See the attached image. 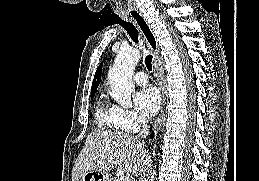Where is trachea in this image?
<instances>
[{"instance_id": "obj_1", "label": "trachea", "mask_w": 259, "mask_h": 181, "mask_svg": "<svg viewBox=\"0 0 259 181\" xmlns=\"http://www.w3.org/2000/svg\"><path fill=\"white\" fill-rule=\"evenodd\" d=\"M122 27L127 31L129 34L130 38L135 42L139 43V33L136 29V27L130 23V22H123L121 23ZM152 55H147L145 57V64L148 70H152Z\"/></svg>"}]
</instances>
